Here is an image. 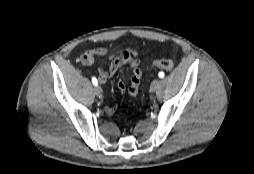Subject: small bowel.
I'll list each match as a JSON object with an SVG mask.
<instances>
[{"label": "small bowel", "mask_w": 254, "mask_h": 174, "mask_svg": "<svg viewBox=\"0 0 254 174\" xmlns=\"http://www.w3.org/2000/svg\"><path fill=\"white\" fill-rule=\"evenodd\" d=\"M108 55L113 61L111 62L108 69H99V81L100 83H106L123 65L127 64L133 68V72L130 78V85L127 89L129 95L134 96L138 93L142 70L139 67V58L136 52L131 51L129 48H117L114 51H110L106 47H98L93 50L84 52L80 56V62L85 65H91L94 63L96 57ZM121 89L124 88L122 82L119 83ZM105 112L108 115H113L115 112L114 107H106Z\"/></svg>", "instance_id": "1"}]
</instances>
